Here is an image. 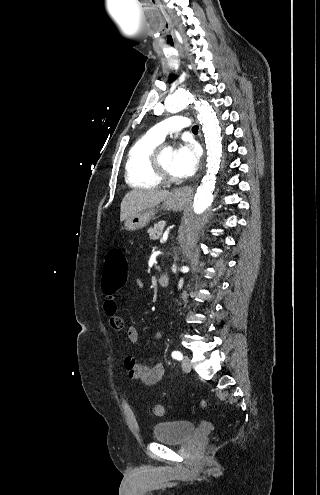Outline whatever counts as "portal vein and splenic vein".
<instances>
[{
  "mask_svg": "<svg viewBox=\"0 0 320 495\" xmlns=\"http://www.w3.org/2000/svg\"><path fill=\"white\" fill-rule=\"evenodd\" d=\"M165 241H166V238H161V239H160V242H161V243H163V242H165Z\"/></svg>",
  "mask_w": 320,
  "mask_h": 495,
  "instance_id": "18ae733b",
  "label": "portal vein and splenic vein"
}]
</instances>
